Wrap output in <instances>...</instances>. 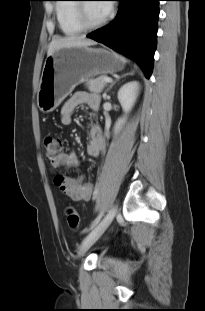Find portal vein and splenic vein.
<instances>
[{
	"mask_svg": "<svg viewBox=\"0 0 205 311\" xmlns=\"http://www.w3.org/2000/svg\"><path fill=\"white\" fill-rule=\"evenodd\" d=\"M105 82H112V78H110V77H105L104 79H103Z\"/></svg>",
	"mask_w": 205,
	"mask_h": 311,
	"instance_id": "18ae733b",
	"label": "portal vein and splenic vein"
}]
</instances>
